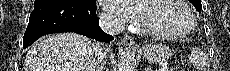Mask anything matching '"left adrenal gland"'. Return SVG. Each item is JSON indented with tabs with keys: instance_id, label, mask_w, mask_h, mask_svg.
<instances>
[{
	"instance_id": "1",
	"label": "left adrenal gland",
	"mask_w": 230,
	"mask_h": 71,
	"mask_svg": "<svg viewBox=\"0 0 230 71\" xmlns=\"http://www.w3.org/2000/svg\"><path fill=\"white\" fill-rule=\"evenodd\" d=\"M151 69H149L148 67L145 69V71H150Z\"/></svg>"
}]
</instances>
